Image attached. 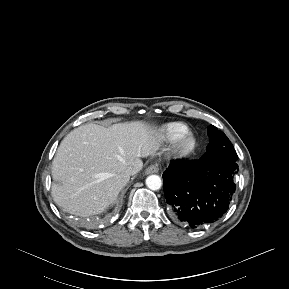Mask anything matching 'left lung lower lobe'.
I'll return each mask as SVG.
<instances>
[{
	"instance_id": "0a47b994",
	"label": "left lung lower lobe",
	"mask_w": 289,
	"mask_h": 289,
	"mask_svg": "<svg viewBox=\"0 0 289 289\" xmlns=\"http://www.w3.org/2000/svg\"><path fill=\"white\" fill-rule=\"evenodd\" d=\"M237 170L236 162L215 163L205 156L171 162L163 173L166 202L191 228L213 223L229 208Z\"/></svg>"
}]
</instances>
